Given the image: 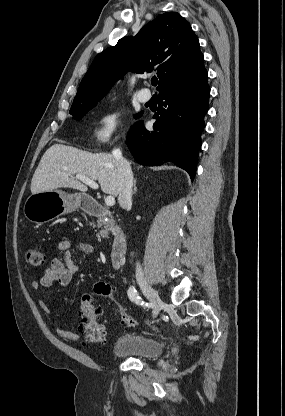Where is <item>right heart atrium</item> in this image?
Masks as SVG:
<instances>
[{"mask_svg":"<svg viewBox=\"0 0 285 416\" xmlns=\"http://www.w3.org/2000/svg\"><path fill=\"white\" fill-rule=\"evenodd\" d=\"M121 112L116 108L104 109L97 113L93 130V141L98 146L108 144L119 132Z\"/></svg>","mask_w":285,"mask_h":416,"instance_id":"right-heart-atrium-1","label":"right heart atrium"}]
</instances>
